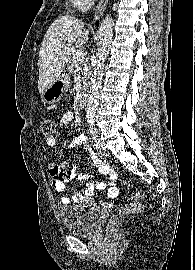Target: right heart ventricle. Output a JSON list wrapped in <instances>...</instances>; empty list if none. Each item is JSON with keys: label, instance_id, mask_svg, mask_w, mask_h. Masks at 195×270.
Masks as SVG:
<instances>
[{"label": "right heart ventricle", "instance_id": "1", "mask_svg": "<svg viewBox=\"0 0 195 270\" xmlns=\"http://www.w3.org/2000/svg\"><path fill=\"white\" fill-rule=\"evenodd\" d=\"M72 2L80 8H84V4L80 0H72Z\"/></svg>", "mask_w": 195, "mask_h": 270}]
</instances>
